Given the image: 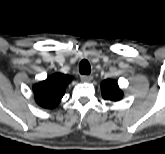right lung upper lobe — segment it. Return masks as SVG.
Here are the masks:
<instances>
[{
	"label": "right lung upper lobe",
	"mask_w": 165,
	"mask_h": 154,
	"mask_svg": "<svg viewBox=\"0 0 165 154\" xmlns=\"http://www.w3.org/2000/svg\"><path fill=\"white\" fill-rule=\"evenodd\" d=\"M71 82L69 75L55 73L46 80L33 86L35 100L43 108H55L64 95L67 85Z\"/></svg>",
	"instance_id": "right-lung-upper-lobe-1"
}]
</instances>
